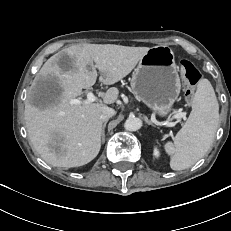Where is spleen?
<instances>
[{
	"label": "spleen",
	"instance_id": "3e777b00",
	"mask_svg": "<svg viewBox=\"0 0 231 231\" xmlns=\"http://www.w3.org/2000/svg\"><path fill=\"white\" fill-rule=\"evenodd\" d=\"M219 122V105L214 89L207 79L197 86L188 120L173 142L164 149L171 156L170 167L184 170L194 165L210 148Z\"/></svg>",
	"mask_w": 231,
	"mask_h": 231
}]
</instances>
